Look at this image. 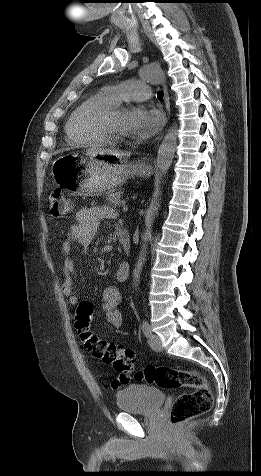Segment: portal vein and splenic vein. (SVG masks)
Here are the masks:
<instances>
[{"label":"portal vein and splenic vein","instance_id":"obj_1","mask_svg":"<svg viewBox=\"0 0 261 476\" xmlns=\"http://www.w3.org/2000/svg\"><path fill=\"white\" fill-rule=\"evenodd\" d=\"M122 211H123V212H127V211H128V207H127V205L125 204V202H124V204L122 205Z\"/></svg>","mask_w":261,"mask_h":476}]
</instances>
